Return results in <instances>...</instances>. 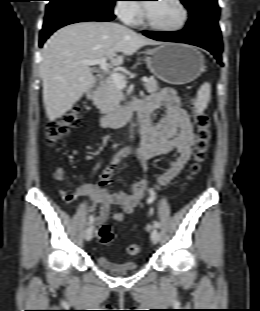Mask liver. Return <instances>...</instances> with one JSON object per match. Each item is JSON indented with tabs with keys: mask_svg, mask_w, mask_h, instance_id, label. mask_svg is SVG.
<instances>
[{
	"mask_svg": "<svg viewBox=\"0 0 260 311\" xmlns=\"http://www.w3.org/2000/svg\"><path fill=\"white\" fill-rule=\"evenodd\" d=\"M159 44L113 22H78L59 29L45 44L40 65L48 119L52 122L62 117L93 85L92 69L83 60L106 58L120 66L125 55Z\"/></svg>",
	"mask_w": 260,
	"mask_h": 311,
	"instance_id": "obj_1",
	"label": "liver"
}]
</instances>
